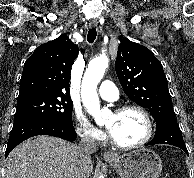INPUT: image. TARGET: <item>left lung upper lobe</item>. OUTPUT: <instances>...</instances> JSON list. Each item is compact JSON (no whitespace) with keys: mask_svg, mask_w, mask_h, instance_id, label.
<instances>
[{"mask_svg":"<svg viewBox=\"0 0 194 178\" xmlns=\"http://www.w3.org/2000/svg\"><path fill=\"white\" fill-rule=\"evenodd\" d=\"M116 74L125 94L154 120L176 117L162 64L146 47L125 38L118 47Z\"/></svg>","mask_w":194,"mask_h":178,"instance_id":"obj_1","label":"left lung upper lobe"}]
</instances>
